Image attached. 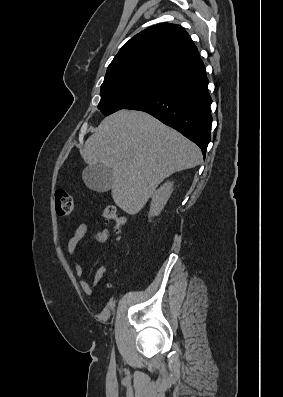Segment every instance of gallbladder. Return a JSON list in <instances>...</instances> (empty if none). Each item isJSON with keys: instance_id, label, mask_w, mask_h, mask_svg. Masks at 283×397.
Returning a JSON list of instances; mask_svg holds the SVG:
<instances>
[{"instance_id": "obj_1", "label": "gallbladder", "mask_w": 283, "mask_h": 397, "mask_svg": "<svg viewBox=\"0 0 283 397\" xmlns=\"http://www.w3.org/2000/svg\"><path fill=\"white\" fill-rule=\"evenodd\" d=\"M85 185L96 192H106L111 189L113 171L103 164L89 165L82 173Z\"/></svg>"}]
</instances>
